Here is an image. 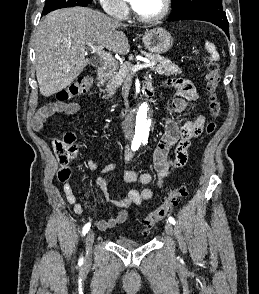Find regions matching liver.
Masks as SVG:
<instances>
[{
	"mask_svg": "<svg viewBox=\"0 0 259 294\" xmlns=\"http://www.w3.org/2000/svg\"><path fill=\"white\" fill-rule=\"evenodd\" d=\"M124 26L91 8L73 7L46 15L35 33V68L40 93L49 97L68 87L90 63L86 46L126 55L130 45Z\"/></svg>",
	"mask_w": 259,
	"mask_h": 294,
	"instance_id": "obj_1",
	"label": "liver"
}]
</instances>
